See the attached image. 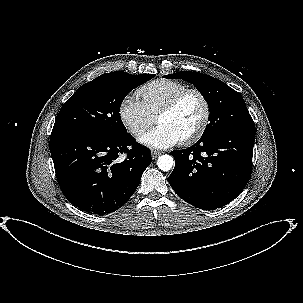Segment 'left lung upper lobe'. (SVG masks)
<instances>
[{"label":"left lung upper lobe","mask_w":303,"mask_h":303,"mask_svg":"<svg viewBox=\"0 0 303 303\" xmlns=\"http://www.w3.org/2000/svg\"><path fill=\"white\" fill-rule=\"evenodd\" d=\"M168 79L191 82L209 106V124L201 138L236 128H255L241 94L224 82L199 72L182 71L165 75Z\"/></svg>","instance_id":"obj_1"}]
</instances>
